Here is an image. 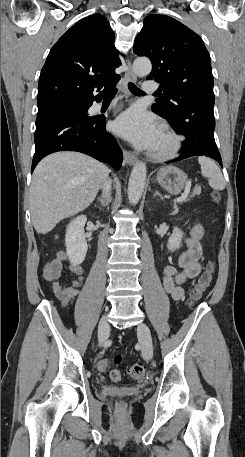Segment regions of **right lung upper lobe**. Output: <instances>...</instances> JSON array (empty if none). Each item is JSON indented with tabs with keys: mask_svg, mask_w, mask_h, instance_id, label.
<instances>
[{
	"mask_svg": "<svg viewBox=\"0 0 245 457\" xmlns=\"http://www.w3.org/2000/svg\"><path fill=\"white\" fill-rule=\"evenodd\" d=\"M120 65L109 21L100 14L83 18L57 41L47 57L38 84V112L97 98L95 89L100 91L120 80L115 73Z\"/></svg>",
	"mask_w": 245,
	"mask_h": 457,
	"instance_id": "right-lung-upper-lobe-1",
	"label": "right lung upper lobe"
}]
</instances>
